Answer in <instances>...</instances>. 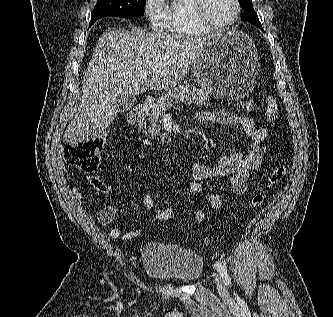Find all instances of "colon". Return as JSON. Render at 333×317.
<instances>
[{
    "label": "colon",
    "mask_w": 333,
    "mask_h": 317,
    "mask_svg": "<svg viewBox=\"0 0 333 317\" xmlns=\"http://www.w3.org/2000/svg\"><path fill=\"white\" fill-rule=\"evenodd\" d=\"M240 107L247 111H253V105L250 102H241ZM105 147V138L98 134L83 141H78L68 145L64 149V160L83 172H93L100 164L101 154ZM287 174V167L284 164L275 166L268 176L263 188L255 192L251 198V206L256 208L261 206L267 196V193L279 185ZM154 218L162 223H173L175 213L170 207H156L153 210ZM209 241V240H206Z\"/></svg>",
    "instance_id": "colon-1"
}]
</instances>
